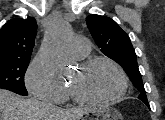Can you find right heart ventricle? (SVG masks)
<instances>
[{
  "label": "right heart ventricle",
  "instance_id": "e07e8e85",
  "mask_svg": "<svg viewBox=\"0 0 165 120\" xmlns=\"http://www.w3.org/2000/svg\"><path fill=\"white\" fill-rule=\"evenodd\" d=\"M70 97H73V95H72V93H71V91H70V88L67 87V88H66V98H70Z\"/></svg>",
  "mask_w": 165,
  "mask_h": 120
}]
</instances>
